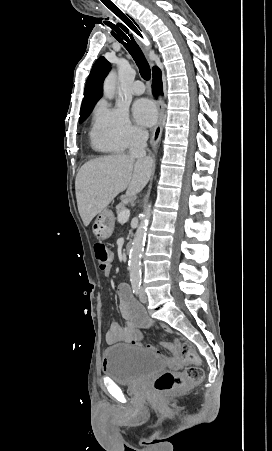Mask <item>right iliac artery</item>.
I'll return each instance as SVG.
<instances>
[{"label":"right iliac artery","mask_w":272,"mask_h":451,"mask_svg":"<svg viewBox=\"0 0 272 451\" xmlns=\"http://www.w3.org/2000/svg\"><path fill=\"white\" fill-rule=\"evenodd\" d=\"M132 289H133V293L136 296H138L140 294V290H141V282H138V281L132 282Z\"/></svg>","instance_id":"82829eb1"}]
</instances>
